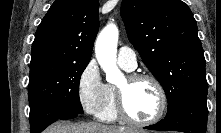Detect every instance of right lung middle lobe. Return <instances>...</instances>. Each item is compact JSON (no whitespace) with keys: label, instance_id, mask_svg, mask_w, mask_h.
Here are the masks:
<instances>
[{"label":"right lung middle lobe","instance_id":"obj_1","mask_svg":"<svg viewBox=\"0 0 221 133\" xmlns=\"http://www.w3.org/2000/svg\"><path fill=\"white\" fill-rule=\"evenodd\" d=\"M87 64L88 62L64 64L30 74V110L61 113L75 109L82 114L79 82Z\"/></svg>","mask_w":221,"mask_h":133}]
</instances>
